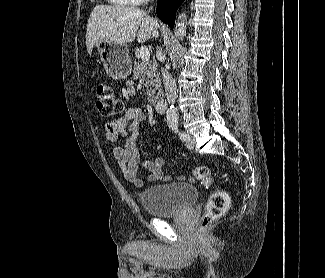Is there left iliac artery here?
<instances>
[{"label": "left iliac artery", "mask_w": 325, "mask_h": 278, "mask_svg": "<svg viewBox=\"0 0 325 278\" xmlns=\"http://www.w3.org/2000/svg\"><path fill=\"white\" fill-rule=\"evenodd\" d=\"M171 128H172V130H174L175 133L178 134V136L181 140L186 141L189 139V135L179 131L177 124L172 125Z\"/></svg>", "instance_id": "left-iliac-artery-1"}]
</instances>
